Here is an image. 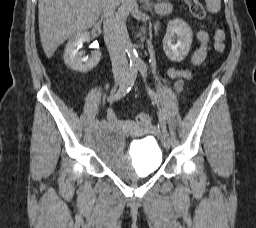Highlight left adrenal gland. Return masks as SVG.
<instances>
[{
    "mask_svg": "<svg viewBox=\"0 0 256 228\" xmlns=\"http://www.w3.org/2000/svg\"><path fill=\"white\" fill-rule=\"evenodd\" d=\"M145 3V9H150L153 6V3H150L149 0H144Z\"/></svg>",
    "mask_w": 256,
    "mask_h": 228,
    "instance_id": "1",
    "label": "left adrenal gland"
}]
</instances>
